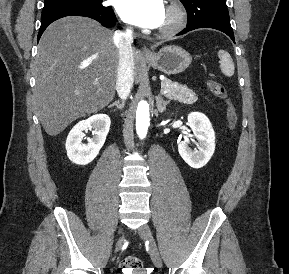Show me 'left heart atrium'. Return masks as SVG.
<instances>
[{
	"label": "left heart atrium",
	"instance_id": "left-heart-atrium-1",
	"mask_svg": "<svg viewBox=\"0 0 289 274\" xmlns=\"http://www.w3.org/2000/svg\"><path fill=\"white\" fill-rule=\"evenodd\" d=\"M116 8L124 21L144 28L159 27L165 16L163 0H117Z\"/></svg>",
	"mask_w": 289,
	"mask_h": 274
}]
</instances>
